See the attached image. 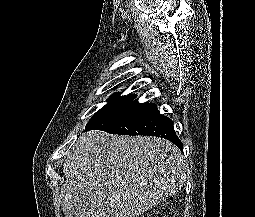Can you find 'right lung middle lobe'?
Returning <instances> with one entry per match:
<instances>
[{
	"instance_id": "right-lung-middle-lobe-1",
	"label": "right lung middle lobe",
	"mask_w": 255,
	"mask_h": 217,
	"mask_svg": "<svg viewBox=\"0 0 255 217\" xmlns=\"http://www.w3.org/2000/svg\"><path fill=\"white\" fill-rule=\"evenodd\" d=\"M135 97H136L135 95L120 96V94H117V93L114 94L108 100V103L92 116L88 124L93 123L96 120L100 119L101 117L109 114L110 112L126 105L127 103L131 102Z\"/></svg>"
}]
</instances>
